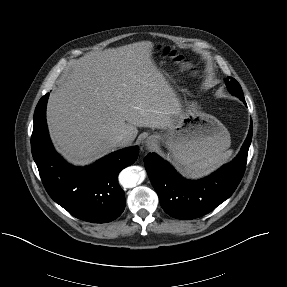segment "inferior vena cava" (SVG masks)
I'll return each instance as SVG.
<instances>
[{
  "label": "inferior vena cava",
  "instance_id": "602c4592",
  "mask_svg": "<svg viewBox=\"0 0 287 287\" xmlns=\"http://www.w3.org/2000/svg\"><path fill=\"white\" fill-rule=\"evenodd\" d=\"M128 142H129V139L123 134L113 137L111 141V143L115 147L125 146L128 144Z\"/></svg>",
  "mask_w": 287,
  "mask_h": 287
}]
</instances>
